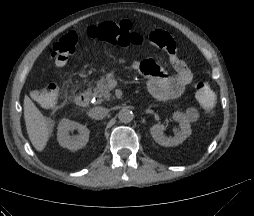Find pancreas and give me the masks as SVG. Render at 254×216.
<instances>
[{
  "instance_id": "obj_1",
  "label": "pancreas",
  "mask_w": 254,
  "mask_h": 216,
  "mask_svg": "<svg viewBox=\"0 0 254 216\" xmlns=\"http://www.w3.org/2000/svg\"><path fill=\"white\" fill-rule=\"evenodd\" d=\"M114 78L113 74L107 75L106 78H102L98 81L97 86L93 88V96L96 97L97 103H101L104 100H109L110 98V81Z\"/></svg>"
}]
</instances>
